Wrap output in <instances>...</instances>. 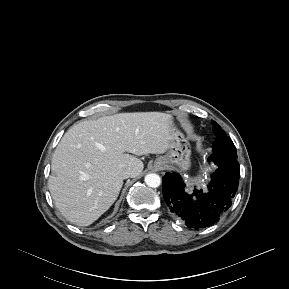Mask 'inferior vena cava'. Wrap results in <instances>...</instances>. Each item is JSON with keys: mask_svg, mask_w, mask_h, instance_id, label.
I'll list each match as a JSON object with an SVG mask.
<instances>
[{"mask_svg": "<svg viewBox=\"0 0 289 289\" xmlns=\"http://www.w3.org/2000/svg\"><path fill=\"white\" fill-rule=\"evenodd\" d=\"M120 176L123 179H127V178L131 177L132 176L131 169L130 168L124 169L123 171H121Z\"/></svg>", "mask_w": 289, "mask_h": 289, "instance_id": "inferior-vena-cava-1", "label": "inferior vena cava"}]
</instances>
